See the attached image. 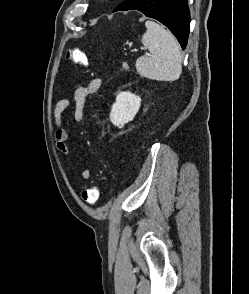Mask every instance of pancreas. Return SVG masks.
<instances>
[{"mask_svg": "<svg viewBox=\"0 0 249 294\" xmlns=\"http://www.w3.org/2000/svg\"><path fill=\"white\" fill-rule=\"evenodd\" d=\"M123 68H124L125 70H128V69H129L127 63H125V62L123 63Z\"/></svg>", "mask_w": 249, "mask_h": 294, "instance_id": "cf45deb5", "label": "pancreas"}]
</instances>
